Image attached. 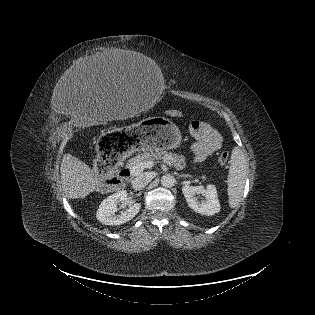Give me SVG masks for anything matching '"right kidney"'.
<instances>
[{
	"instance_id": "obj_1",
	"label": "right kidney",
	"mask_w": 315,
	"mask_h": 315,
	"mask_svg": "<svg viewBox=\"0 0 315 315\" xmlns=\"http://www.w3.org/2000/svg\"><path fill=\"white\" fill-rule=\"evenodd\" d=\"M127 196V191L122 190L104 199L97 210V220L105 225H121L130 221L139 212L140 203L129 205L126 211H122L120 215H115L118 211L117 203H125Z\"/></svg>"
}]
</instances>
